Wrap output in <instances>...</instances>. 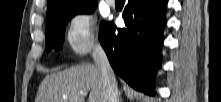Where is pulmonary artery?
I'll use <instances>...</instances> for the list:
<instances>
[{"label": "pulmonary artery", "mask_w": 221, "mask_h": 102, "mask_svg": "<svg viewBox=\"0 0 221 102\" xmlns=\"http://www.w3.org/2000/svg\"><path fill=\"white\" fill-rule=\"evenodd\" d=\"M115 0H106V3L110 6H114L115 5Z\"/></svg>", "instance_id": "pulmonary-artery-1"}]
</instances>
